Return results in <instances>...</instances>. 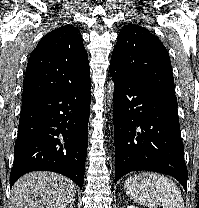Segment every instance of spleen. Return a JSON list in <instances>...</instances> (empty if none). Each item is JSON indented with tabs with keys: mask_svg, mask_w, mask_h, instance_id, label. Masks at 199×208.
I'll use <instances>...</instances> for the list:
<instances>
[{
	"mask_svg": "<svg viewBox=\"0 0 199 208\" xmlns=\"http://www.w3.org/2000/svg\"><path fill=\"white\" fill-rule=\"evenodd\" d=\"M126 194L147 208H184V200L177 185L164 175L140 173L124 183Z\"/></svg>",
	"mask_w": 199,
	"mask_h": 208,
	"instance_id": "obj_1",
	"label": "spleen"
}]
</instances>
